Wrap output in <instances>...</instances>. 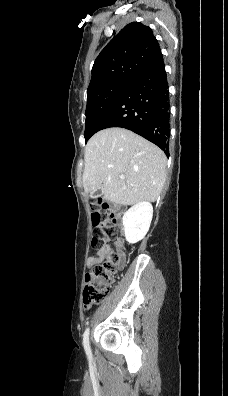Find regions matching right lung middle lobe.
Here are the masks:
<instances>
[{
    "mask_svg": "<svg viewBox=\"0 0 228 396\" xmlns=\"http://www.w3.org/2000/svg\"><path fill=\"white\" fill-rule=\"evenodd\" d=\"M127 82H112L87 91L85 142L96 133V125L128 87Z\"/></svg>",
    "mask_w": 228,
    "mask_h": 396,
    "instance_id": "right-lung-middle-lobe-1",
    "label": "right lung middle lobe"
}]
</instances>
